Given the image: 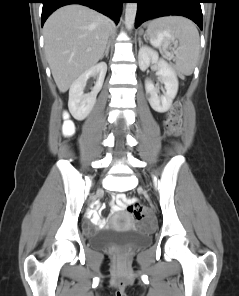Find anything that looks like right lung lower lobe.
I'll return each instance as SVG.
<instances>
[{
    "label": "right lung lower lobe",
    "instance_id": "right-lung-lower-lobe-1",
    "mask_svg": "<svg viewBox=\"0 0 239 296\" xmlns=\"http://www.w3.org/2000/svg\"><path fill=\"white\" fill-rule=\"evenodd\" d=\"M43 3L41 25L43 26L49 15L67 4H82L94 10H97L110 18L116 23L119 21L122 3L124 0H40Z\"/></svg>",
    "mask_w": 239,
    "mask_h": 296
}]
</instances>
